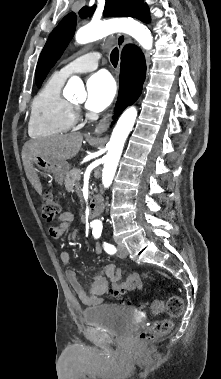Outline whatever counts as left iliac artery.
<instances>
[{"instance_id": "1", "label": "left iliac artery", "mask_w": 221, "mask_h": 379, "mask_svg": "<svg viewBox=\"0 0 221 379\" xmlns=\"http://www.w3.org/2000/svg\"><path fill=\"white\" fill-rule=\"evenodd\" d=\"M92 233H93L94 238L97 239L101 236L102 228L99 226L93 227ZM103 247H104V250L109 254H115L117 251L114 245L106 243V242L103 243Z\"/></svg>"}]
</instances>
